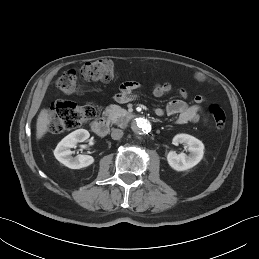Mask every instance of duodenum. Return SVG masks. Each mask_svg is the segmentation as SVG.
<instances>
[{"label":"duodenum","instance_id":"duodenum-1","mask_svg":"<svg viewBox=\"0 0 259 259\" xmlns=\"http://www.w3.org/2000/svg\"><path fill=\"white\" fill-rule=\"evenodd\" d=\"M126 117L132 119L134 118V114L131 112H126ZM91 128L95 134L105 136L109 131V124L105 118L100 117L93 121Z\"/></svg>","mask_w":259,"mask_h":259}]
</instances>
